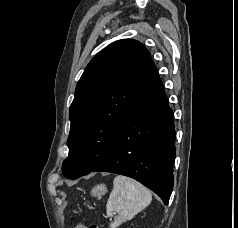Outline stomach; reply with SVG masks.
<instances>
[{
  "mask_svg": "<svg viewBox=\"0 0 238 228\" xmlns=\"http://www.w3.org/2000/svg\"><path fill=\"white\" fill-rule=\"evenodd\" d=\"M106 192L107 187L104 184H101L93 187V189L91 190V195L97 197L98 199H101Z\"/></svg>",
  "mask_w": 238,
  "mask_h": 228,
  "instance_id": "1",
  "label": "stomach"
}]
</instances>
